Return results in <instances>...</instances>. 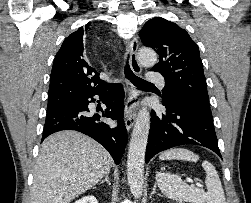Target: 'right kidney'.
<instances>
[{"mask_svg":"<svg viewBox=\"0 0 251 203\" xmlns=\"http://www.w3.org/2000/svg\"><path fill=\"white\" fill-rule=\"evenodd\" d=\"M74 203H98V201L94 196L88 195V196H84L83 198L75 201Z\"/></svg>","mask_w":251,"mask_h":203,"instance_id":"1","label":"right kidney"}]
</instances>
